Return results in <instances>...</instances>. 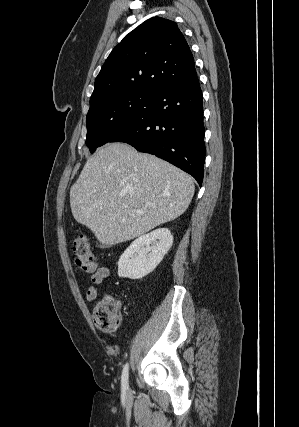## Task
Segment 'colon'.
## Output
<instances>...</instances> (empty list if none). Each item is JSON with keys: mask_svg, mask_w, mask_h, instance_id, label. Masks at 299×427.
<instances>
[{"mask_svg": "<svg viewBox=\"0 0 299 427\" xmlns=\"http://www.w3.org/2000/svg\"><path fill=\"white\" fill-rule=\"evenodd\" d=\"M75 261L79 265L93 263L94 256L88 237L84 234L77 236L73 242ZM93 320L97 329L111 334L116 331L121 322V310L118 302L112 296H106L93 307Z\"/></svg>", "mask_w": 299, "mask_h": 427, "instance_id": "obj_1", "label": "colon"}]
</instances>
